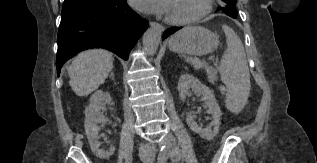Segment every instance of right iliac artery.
Returning <instances> with one entry per match:
<instances>
[{
	"instance_id": "1",
	"label": "right iliac artery",
	"mask_w": 317,
	"mask_h": 163,
	"mask_svg": "<svg viewBox=\"0 0 317 163\" xmlns=\"http://www.w3.org/2000/svg\"><path fill=\"white\" fill-rule=\"evenodd\" d=\"M166 160V154L161 152L159 155H158V158H157V162L158 163H164V161Z\"/></svg>"
}]
</instances>
